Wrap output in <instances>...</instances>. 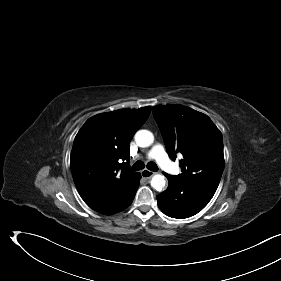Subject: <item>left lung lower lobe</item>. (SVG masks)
Segmentation results:
<instances>
[{
	"instance_id": "obj_1",
	"label": "left lung lower lobe",
	"mask_w": 281,
	"mask_h": 281,
	"mask_svg": "<svg viewBox=\"0 0 281 281\" xmlns=\"http://www.w3.org/2000/svg\"><path fill=\"white\" fill-rule=\"evenodd\" d=\"M166 177L168 188L157 196V201L162 212L172 218L183 219L197 214L215 193L195 182Z\"/></svg>"
}]
</instances>
